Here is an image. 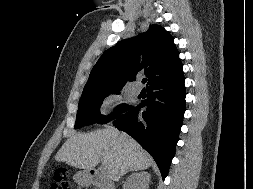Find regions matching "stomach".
<instances>
[{"instance_id": "stomach-1", "label": "stomach", "mask_w": 253, "mask_h": 189, "mask_svg": "<svg viewBox=\"0 0 253 189\" xmlns=\"http://www.w3.org/2000/svg\"><path fill=\"white\" fill-rule=\"evenodd\" d=\"M74 180L76 182H78L79 184H87V183H89L87 175L84 172H78L77 174H75Z\"/></svg>"}]
</instances>
